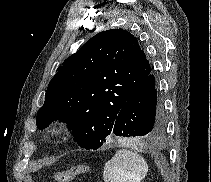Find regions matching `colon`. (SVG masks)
Instances as JSON below:
<instances>
[{"instance_id":"5ec220e1","label":"colon","mask_w":211,"mask_h":182,"mask_svg":"<svg viewBox=\"0 0 211 182\" xmlns=\"http://www.w3.org/2000/svg\"><path fill=\"white\" fill-rule=\"evenodd\" d=\"M88 170V165L82 163L75 165L66 171L56 173L55 178L58 182H69L77 176L87 173Z\"/></svg>"}]
</instances>
